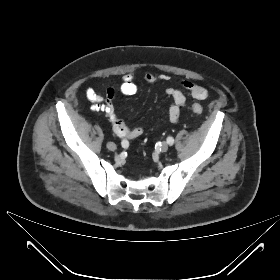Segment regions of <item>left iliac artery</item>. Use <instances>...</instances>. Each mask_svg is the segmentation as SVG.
<instances>
[{
	"label": "left iliac artery",
	"mask_w": 280,
	"mask_h": 280,
	"mask_svg": "<svg viewBox=\"0 0 280 280\" xmlns=\"http://www.w3.org/2000/svg\"><path fill=\"white\" fill-rule=\"evenodd\" d=\"M173 143H174L173 137H168V138H167V144H169L170 146H172Z\"/></svg>",
	"instance_id": "44dca946"
}]
</instances>
